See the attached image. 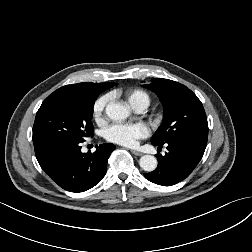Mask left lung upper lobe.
Returning a JSON list of instances; mask_svg holds the SVG:
<instances>
[{"label":"left lung upper lobe","mask_w":252,"mask_h":252,"mask_svg":"<svg viewBox=\"0 0 252 252\" xmlns=\"http://www.w3.org/2000/svg\"><path fill=\"white\" fill-rule=\"evenodd\" d=\"M144 86L159 96L164 107L163 122L151 139L154 145H164L185 137L207 140V117L201 101L191 90L162 78H155Z\"/></svg>","instance_id":"1"}]
</instances>
